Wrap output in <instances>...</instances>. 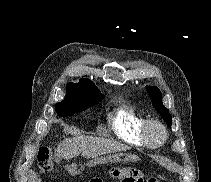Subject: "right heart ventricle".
<instances>
[{
    "label": "right heart ventricle",
    "instance_id": "e07e8e85",
    "mask_svg": "<svg viewBox=\"0 0 211 182\" xmlns=\"http://www.w3.org/2000/svg\"><path fill=\"white\" fill-rule=\"evenodd\" d=\"M147 118L129 105L118 107L110 117L116 135L134 146H145L142 138V127Z\"/></svg>",
    "mask_w": 211,
    "mask_h": 182
}]
</instances>
